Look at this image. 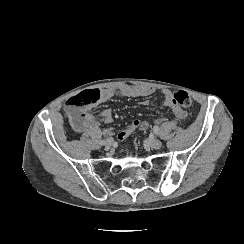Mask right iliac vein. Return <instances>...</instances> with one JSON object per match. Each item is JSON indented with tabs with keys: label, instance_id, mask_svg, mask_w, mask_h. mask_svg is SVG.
<instances>
[{
	"label": "right iliac vein",
	"instance_id": "63e3f726",
	"mask_svg": "<svg viewBox=\"0 0 244 244\" xmlns=\"http://www.w3.org/2000/svg\"><path fill=\"white\" fill-rule=\"evenodd\" d=\"M113 140L112 139H107L106 140V142H105V146H106V148H109V147H111L112 145H113Z\"/></svg>",
	"mask_w": 244,
	"mask_h": 244
}]
</instances>
